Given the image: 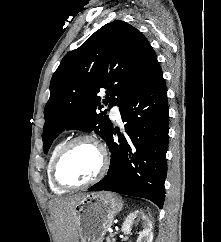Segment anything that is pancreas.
I'll return each instance as SVG.
<instances>
[{"instance_id": "cf45deb5", "label": "pancreas", "mask_w": 221, "mask_h": 242, "mask_svg": "<svg viewBox=\"0 0 221 242\" xmlns=\"http://www.w3.org/2000/svg\"><path fill=\"white\" fill-rule=\"evenodd\" d=\"M106 242H114V239H112V241L109 239V237H107V241Z\"/></svg>"}]
</instances>
